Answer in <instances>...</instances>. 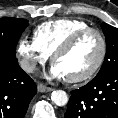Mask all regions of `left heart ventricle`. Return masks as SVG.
Instances as JSON below:
<instances>
[{"instance_id": "b2bd125f", "label": "left heart ventricle", "mask_w": 118, "mask_h": 118, "mask_svg": "<svg viewBox=\"0 0 118 118\" xmlns=\"http://www.w3.org/2000/svg\"><path fill=\"white\" fill-rule=\"evenodd\" d=\"M100 54V41L95 34L82 38L69 52L58 57L56 64L66 78L75 77L90 70Z\"/></svg>"}]
</instances>
